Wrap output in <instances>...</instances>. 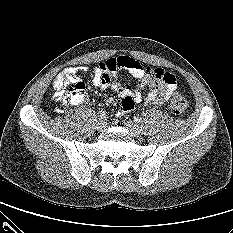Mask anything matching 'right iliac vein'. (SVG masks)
<instances>
[{"label":"right iliac vein","instance_id":"obj_1","mask_svg":"<svg viewBox=\"0 0 233 233\" xmlns=\"http://www.w3.org/2000/svg\"><path fill=\"white\" fill-rule=\"evenodd\" d=\"M106 122L104 121V120H99V121H97V124H96V129L99 131V132H101V131H103V130H105V128H106Z\"/></svg>","mask_w":233,"mask_h":233}]
</instances>
